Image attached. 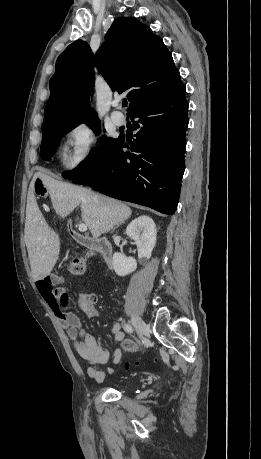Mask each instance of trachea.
<instances>
[{
	"label": "trachea",
	"instance_id": "3493384b",
	"mask_svg": "<svg viewBox=\"0 0 261 459\" xmlns=\"http://www.w3.org/2000/svg\"><path fill=\"white\" fill-rule=\"evenodd\" d=\"M122 106H123V107H126V106H127V100H126V99L123 100Z\"/></svg>",
	"mask_w": 261,
	"mask_h": 459
}]
</instances>
